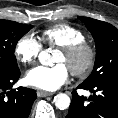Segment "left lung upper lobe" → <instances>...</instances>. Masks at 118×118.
Listing matches in <instances>:
<instances>
[{"mask_svg": "<svg viewBox=\"0 0 118 118\" xmlns=\"http://www.w3.org/2000/svg\"><path fill=\"white\" fill-rule=\"evenodd\" d=\"M92 34L96 44V60L90 76L83 82L95 85L118 78V29L88 17H79Z\"/></svg>", "mask_w": 118, "mask_h": 118, "instance_id": "left-lung-upper-lobe-1", "label": "left lung upper lobe"}]
</instances>
